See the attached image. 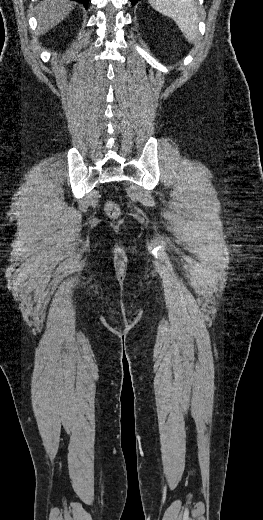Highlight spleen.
Returning a JSON list of instances; mask_svg holds the SVG:
<instances>
[{"instance_id":"obj_1","label":"spleen","mask_w":263,"mask_h":520,"mask_svg":"<svg viewBox=\"0 0 263 520\" xmlns=\"http://www.w3.org/2000/svg\"><path fill=\"white\" fill-rule=\"evenodd\" d=\"M158 12L175 21L184 37L194 43L198 37V9L195 0H149Z\"/></svg>"}]
</instances>
